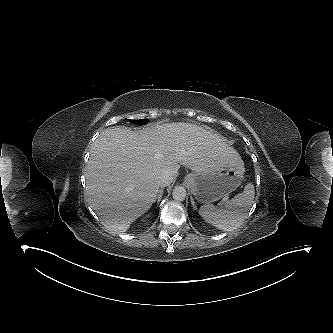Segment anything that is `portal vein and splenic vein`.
<instances>
[{
  "label": "portal vein and splenic vein",
  "instance_id": "18ae733b",
  "mask_svg": "<svg viewBox=\"0 0 333 333\" xmlns=\"http://www.w3.org/2000/svg\"><path fill=\"white\" fill-rule=\"evenodd\" d=\"M225 202H226V200H225V201H222L221 205H223Z\"/></svg>",
  "mask_w": 333,
  "mask_h": 333
}]
</instances>
